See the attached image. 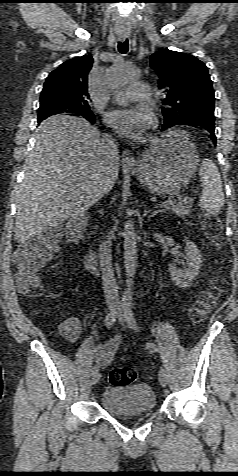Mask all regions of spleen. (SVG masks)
<instances>
[{
	"instance_id": "obj_1",
	"label": "spleen",
	"mask_w": 238,
	"mask_h": 476,
	"mask_svg": "<svg viewBox=\"0 0 238 476\" xmlns=\"http://www.w3.org/2000/svg\"><path fill=\"white\" fill-rule=\"evenodd\" d=\"M199 176L203 185L200 206L207 213H218L224 204L222 180L215 163L204 159L199 169Z\"/></svg>"
}]
</instances>
